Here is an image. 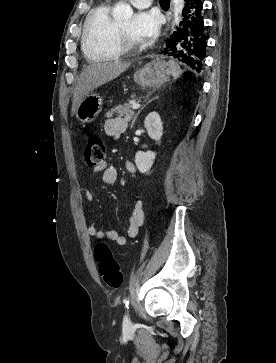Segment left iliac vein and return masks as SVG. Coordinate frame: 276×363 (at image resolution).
Listing matches in <instances>:
<instances>
[{
    "label": "left iliac vein",
    "instance_id": "obj_1",
    "mask_svg": "<svg viewBox=\"0 0 276 363\" xmlns=\"http://www.w3.org/2000/svg\"><path fill=\"white\" fill-rule=\"evenodd\" d=\"M124 323H125V324H128V323H129V318H128V316H127V315H125V317H124Z\"/></svg>",
    "mask_w": 276,
    "mask_h": 363
}]
</instances>
